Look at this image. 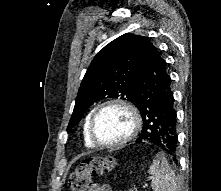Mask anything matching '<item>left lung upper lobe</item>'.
Wrapping results in <instances>:
<instances>
[{
  "mask_svg": "<svg viewBox=\"0 0 221 191\" xmlns=\"http://www.w3.org/2000/svg\"><path fill=\"white\" fill-rule=\"evenodd\" d=\"M148 43L146 37L124 34L94 57L79 88L67 131L101 99L120 98L135 104V85Z\"/></svg>",
  "mask_w": 221,
  "mask_h": 191,
  "instance_id": "1",
  "label": "left lung upper lobe"
}]
</instances>
